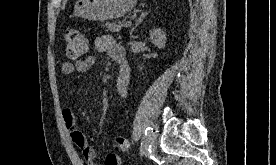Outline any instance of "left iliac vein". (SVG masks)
Listing matches in <instances>:
<instances>
[{
  "mask_svg": "<svg viewBox=\"0 0 276 165\" xmlns=\"http://www.w3.org/2000/svg\"><path fill=\"white\" fill-rule=\"evenodd\" d=\"M157 147V134L155 132H152L149 137V149L150 153H154L155 149Z\"/></svg>",
  "mask_w": 276,
  "mask_h": 165,
  "instance_id": "4c4485c4",
  "label": "left iliac vein"
}]
</instances>
